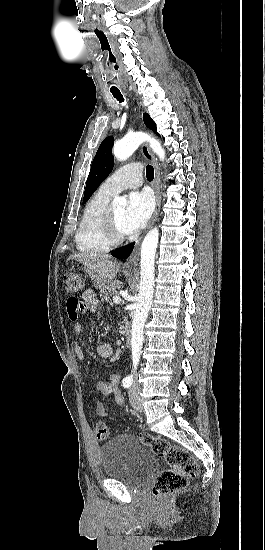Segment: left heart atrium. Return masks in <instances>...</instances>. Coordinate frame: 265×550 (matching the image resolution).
I'll use <instances>...</instances> for the list:
<instances>
[{"label": "left heart atrium", "mask_w": 265, "mask_h": 550, "mask_svg": "<svg viewBox=\"0 0 265 550\" xmlns=\"http://www.w3.org/2000/svg\"><path fill=\"white\" fill-rule=\"evenodd\" d=\"M153 212V199L146 192H133L129 195L128 206L124 217L125 229L134 233L143 228Z\"/></svg>", "instance_id": "left-heart-atrium-1"}]
</instances>
